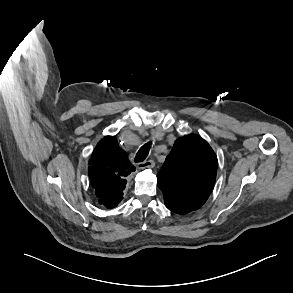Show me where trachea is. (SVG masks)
I'll return each mask as SVG.
<instances>
[{"label":"trachea","instance_id":"obj_1","mask_svg":"<svg viewBox=\"0 0 293 293\" xmlns=\"http://www.w3.org/2000/svg\"><path fill=\"white\" fill-rule=\"evenodd\" d=\"M150 148H151V142H148L145 145H143L139 149V151L137 152L134 161L137 162V163L144 161L146 159V157L148 156V154H149Z\"/></svg>","mask_w":293,"mask_h":293}]
</instances>
